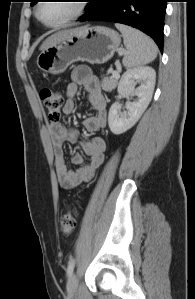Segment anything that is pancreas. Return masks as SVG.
<instances>
[{"label": "pancreas", "mask_w": 195, "mask_h": 299, "mask_svg": "<svg viewBox=\"0 0 195 299\" xmlns=\"http://www.w3.org/2000/svg\"><path fill=\"white\" fill-rule=\"evenodd\" d=\"M118 79L119 78H114V77H104L102 79V88L105 91H112L118 84Z\"/></svg>", "instance_id": "1"}]
</instances>
